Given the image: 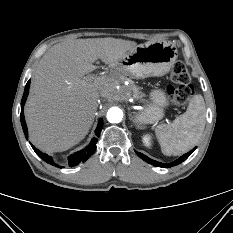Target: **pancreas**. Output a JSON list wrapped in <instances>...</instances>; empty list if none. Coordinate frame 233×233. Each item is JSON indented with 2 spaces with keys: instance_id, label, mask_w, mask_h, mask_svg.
Masks as SVG:
<instances>
[{
  "instance_id": "1",
  "label": "pancreas",
  "mask_w": 233,
  "mask_h": 233,
  "mask_svg": "<svg viewBox=\"0 0 233 233\" xmlns=\"http://www.w3.org/2000/svg\"><path fill=\"white\" fill-rule=\"evenodd\" d=\"M120 79H124L123 77H121V76H118ZM129 87L131 88V89H133V98L134 99H136V100H140V101H143V96H144V94L141 92V91H139V90H135V85H134V83L133 82H131L130 81V85H129Z\"/></svg>"
}]
</instances>
